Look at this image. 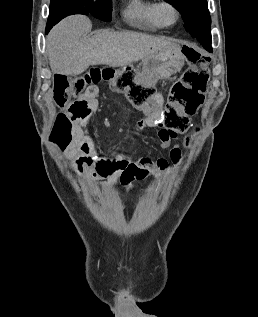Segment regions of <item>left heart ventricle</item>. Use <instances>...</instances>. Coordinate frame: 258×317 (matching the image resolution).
<instances>
[{
    "mask_svg": "<svg viewBox=\"0 0 258 317\" xmlns=\"http://www.w3.org/2000/svg\"><path fill=\"white\" fill-rule=\"evenodd\" d=\"M164 15H165L166 18H170L171 17V12L170 11H166L164 13Z\"/></svg>",
    "mask_w": 258,
    "mask_h": 317,
    "instance_id": "1",
    "label": "left heart ventricle"
}]
</instances>
